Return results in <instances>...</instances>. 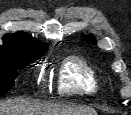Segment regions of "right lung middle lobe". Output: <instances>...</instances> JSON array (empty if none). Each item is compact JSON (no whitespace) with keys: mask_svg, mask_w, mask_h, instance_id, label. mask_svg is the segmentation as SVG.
Instances as JSON below:
<instances>
[{"mask_svg":"<svg viewBox=\"0 0 131 115\" xmlns=\"http://www.w3.org/2000/svg\"><path fill=\"white\" fill-rule=\"evenodd\" d=\"M42 54H27L11 60L6 67H0V97L14 86L18 77L17 70L25 68L30 63L40 58Z\"/></svg>","mask_w":131,"mask_h":115,"instance_id":"dd1d6c3e","label":"right lung middle lobe"}]
</instances>
